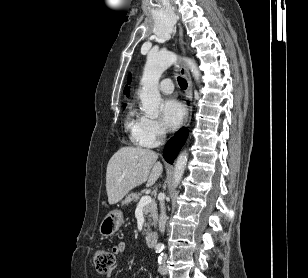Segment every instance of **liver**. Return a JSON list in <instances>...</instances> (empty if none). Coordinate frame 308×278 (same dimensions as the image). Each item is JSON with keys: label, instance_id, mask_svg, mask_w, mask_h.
<instances>
[{"label": "liver", "instance_id": "1", "mask_svg": "<svg viewBox=\"0 0 308 278\" xmlns=\"http://www.w3.org/2000/svg\"><path fill=\"white\" fill-rule=\"evenodd\" d=\"M158 154L152 150L126 146L109 160L106 171L108 202L114 205L133 188L145 183L151 187L163 172Z\"/></svg>", "mask_w": 308, "mask_h": 278}]
</instances>
